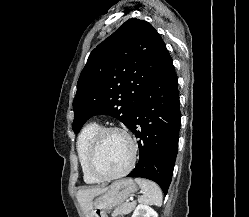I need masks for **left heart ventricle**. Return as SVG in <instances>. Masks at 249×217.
Masks as SVG:
<instances>
[{
    "instance_id": "left-heart-ventricle-1",
    "label": "left heart ventricle",
    "mask_w": 249,
    "mask_h": 217,
    "mask_svg": "<svg viewBox=\"0 0 249 217\" xmlns=\"http://www.w3.org/2000/svg\"><path fill=\"white\" fill-rule=\"evenodd\" d=\"M131 148L127 139L119 133L106 134L98 147L95 165L105 175L123 170L130 161Z\"/></svg>"
}]
</instances>
